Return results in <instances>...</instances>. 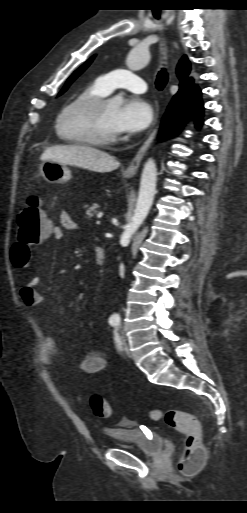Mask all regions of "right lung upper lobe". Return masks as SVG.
I'll return each instance as SVG.
<instances>
[{
    "mask_svg": "<svg viewBox=\"0 0 247 513\" xmlns=\"http://www.w3.org/2000/svg\"><path fill=\"white\" fill-rule=\"evenodd\" d=\"M177 76L181 80L180 84V90H186L191 87H194L193 80L191 78H187L189 72H190V63L188 61V58L186 56H183L178 65H177Z\"/></svg>",
    "mask_w": 247,
    "mask_h": 513,
    "instance_id": "right-lung-upper-lobe-1",
    "label": "right lung upper lobe"
}]
</instances>
